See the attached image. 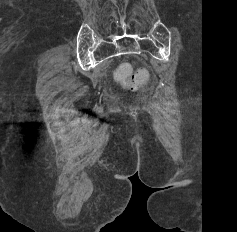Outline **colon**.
<instances>
[{
	"mask_svg": "<svg viewBox=\"0 0 237 232\" xmlns=\"http://www.w3.org/2000/svg\"><path fill=\"white\" fill-rule=\"evenodd\" d=\"M147 77L148 75L145 70H139L133 74L129 64H121L115 73L116 80L132 90L141 86L147 80Z\"/></svg>",
	"mask_w": 237,
	"mask_h": 232,
	"instance_id": "1",
	"label": "colon"
}]
</instances>
